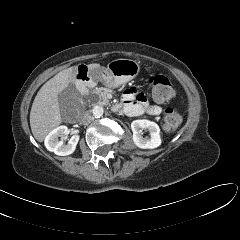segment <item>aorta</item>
Segmentation results:
<instances>
[{
	"label": "aorta",
	"mask_w": 240,
	"mask_h": 240,
	"mask_svg": "<svg viewBox=\"0 0 240 240\" xmlns=\"http://www.w3.org/2000/svg\"><path fill=\"white\" fill-rule=\"evenodd\" d=\"M103 107L102 106H94L93 109H92V113H93V116L95 118H100L102 115H103Z\"/></svg>",
	"instance_id": "obj_1"
}]
</instances>
